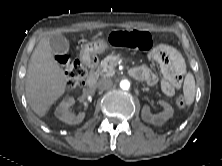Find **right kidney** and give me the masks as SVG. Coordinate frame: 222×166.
Instances as JSON below:
<instances>
[{"label":"right kidney","mask_w":222,"mask_h":166,"mask_svg":"<svg viewBox=\"0 0 222 166\" xmlns=\"http://www.w3.org/2000/svg\"><path fill=\"white\" fill-rule=\"evenodd\" d=\"M75 103V99L73 97L65 98L60 105L55 110V116L61 121L67 124H79L81 123L86 113L80 112L77 116L70 112L68 109Z\"/></svg>","instance_id":"obj_1"}]
</instances>
